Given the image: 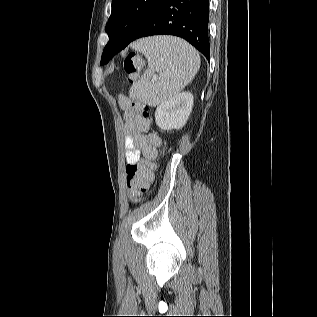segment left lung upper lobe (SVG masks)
Masks as SVG:
<instances>
[{"label": "left lung upper lobe", "instance_id": "5c2ea615", "mask_svg": "<svg viewBox=\"0 0 317 317\" xmlns=\"http://www.w3.org/2000/svg\"><path fill=\"white\" fill-rule=\"evenodd\" d=\"M163 0H113L112 13L106 25L109 41L125 44L131 41ZM109 61L104 49L101 64Z\"/></svg>", "mask_w": 317, "mask_h": 317}]
</instances>
